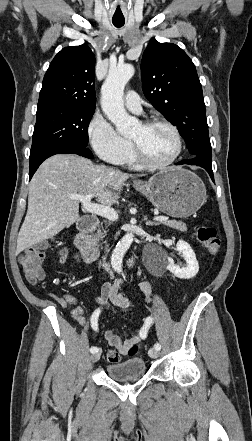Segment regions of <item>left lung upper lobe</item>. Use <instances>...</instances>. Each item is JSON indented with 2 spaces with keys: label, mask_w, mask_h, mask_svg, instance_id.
Masks as SVG:
<instances>
[{
  "label": "left lung upper lobe",
  "mask_w": 252,
  "mask_h": 441,
  "mask_svg": "<svg viewBox=\"0 0 252 441\" xmlns=\"http://www.w3.org/2000/svg\"><path fill=\"white\" fill-rule=\"evenodd\" d=\"M141 72L146 98L178 127L189 152L211 158L202 86L192 60L177 45L152 39Z\"/></svg>",
  "instance_id": "1"
}]
</instances>
